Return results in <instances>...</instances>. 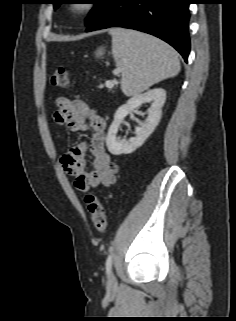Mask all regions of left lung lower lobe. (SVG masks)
Segmentation results:
<instances>
[{"label": "left lung lower lobe", "instance_id": "1", "mask_svg": "<svg viewBox=\"0 0 236 321\" xmlns=\"http://www.w3.org/2000/svg\"><path fill=\"white\" fill-rule=\"evenodd\" d=\"M191 3L193 0H112L87 26L86 32L109 27L142 31L169 43L187 62Z\"/></svg>", "mask_w": 236, "mask_h": 321}]
</instances>
